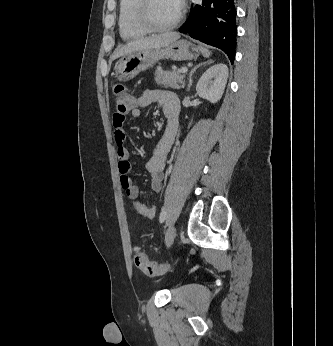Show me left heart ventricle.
<instances>
[{
	"mask_svg": "<svg viewBox=\"0 0 333 346\" xmlns=\"http://www.w3.org/2000/svg\"><path fill=\"white\" fill-rule=\"evenodd\" d=\"M178 8L174 0H151L150 14L155 23L164 25L175 17Z\"/></svg>",
	"mask_w": 333,
	"mask_h": 346,
	"instance_id": "obj_1",
	"label": "left heart ventricle"
}]
</instances>
